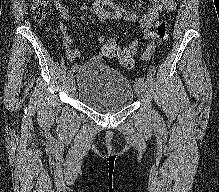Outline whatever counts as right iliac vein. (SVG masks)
Masks as SVG:
<instances>
[{"instance_id": "1", "label": "right iliac vein", "mask_w": 219, "mask_h": 192, "mask_svg": "<svg viewBox=\"0 0 219 192\" xmlns=\"http://www.w3.org/2000/svg\"><path fill=\"white\" fill-rule=\"evenodd\" d=\"M69 85L71 86V89L73 90V85H74V77H73V74L69 76Z\"/></svg>"}]
</instances>
